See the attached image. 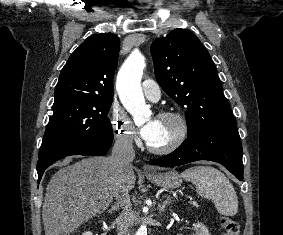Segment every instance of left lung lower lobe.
<instances>
[{
	"mask_svg": "<svg viewBox=\"0 0 283 235\" xmlns=\"http://www.w3.org/2000/svg\"><path fill=\"white\" fill-rule=\"evenodd\" d=\"M197 160L218 162L242 180V144L236 126L188 136L175 151L153 159L151 163L162 167H174Z\"/></svg>",
	"mask_w": 283,
	"mask_h": 235,
	"instance_id": "obj_1",
	"label": "left lung lower lobe"
}]
</instances>
